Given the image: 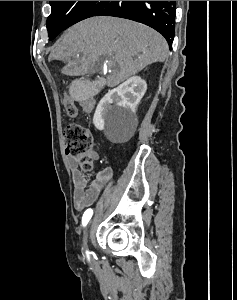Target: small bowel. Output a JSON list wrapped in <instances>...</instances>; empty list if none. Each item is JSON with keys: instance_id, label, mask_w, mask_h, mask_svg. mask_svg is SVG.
<instances>
[{"instance_id": "c3829d8e", "label": "small bowel", "mask_w": 237, "mask_h": 300, "mask_svg": "<svg viewBox=\"0 0 237 300\" xmlns=\"http://www.w3.org/2000/svg\"><path fill=\"white\" fill-rule=\"evenodd\" d=\"M80 105L85 112L89 113L94 108L95 102L92 99H87L81 101ZM88 155L93 160L99 158L97 150L93 147L89 150ZM68 163L74 184V208L76 211L82 212L92 206L103 190L111 184L114 172L112 168L106 167L99 171L93 179L88 180L84 173L78 168L76 158L70 157Z\"/></svg>"}]
</instances>
